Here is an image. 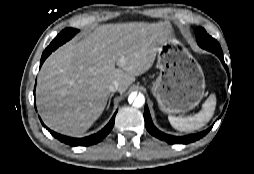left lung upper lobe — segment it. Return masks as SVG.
Segmentation results:
<instances>
[{
	"label": "left lung upper lobe",
	"mask_w": 254,
	"mask_h": 174,
	"mask_svg": "<svg viewBox=\"0 0 254 174\" xmlns=\"http://www.w3.org/2000/svg\"><path fill=\"white\" fill-rule=\"evenodd\" d=\"M197 43L201 48H204L213 53H222L219 43L207 34L204 28L197 27L195 29Z\"/></svg>",
	"instance_id": "1"
}]
</instances>
